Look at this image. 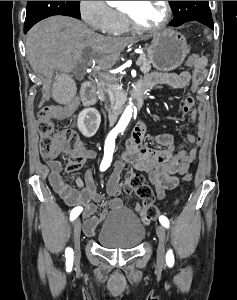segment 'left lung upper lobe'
I'll list each match as a JSON object with an SVG mask.
<instances>
[{
	"mask_svg": "<svg viewBox=\"0 0 237 300\" xmlns=\"http://www.w3.org/2000/svg\"><path fill=\"white\" fill-rule=\"evenodd\" d=\"M174 19L172 26L185 22L197 21L206 26L213 23L209 1H170Z\"/></svg>",
	"mask_w": 237,
	"mask_h": 300,
	"instance_id": "left-lung-upper-lobe-1",
	"label": "left lung upper lobe"
}]
</instances>
